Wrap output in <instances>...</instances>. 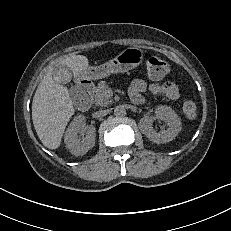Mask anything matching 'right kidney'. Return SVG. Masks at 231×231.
Here are the masks:
<instances>
[{
	"instance_id": "obj_1",
	"label": "right kidney",
	"mask_w": 231,
	"mask_h": 231,
	"mask_svg": "<svg viewBox=\"0 0 231 231\" xmlns=\"http://www.w3.org/2000/svg\"><path fill=\"white\" fill-rule=\"evenodd\" d=\"M95 127L86 125L83 115L76 116L65 133L66 148L75 156H82L95 144Z\"/></svg>"
}]
</instances>
